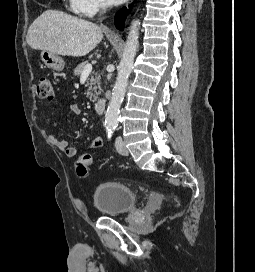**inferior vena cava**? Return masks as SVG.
Here are the masks:
<instances>
[{
    "label": "inferior vena cava",
    "mask_w": 255,
    "mask_h": 272,
    "mask_svg": "<svg viewBox=\"0 0 255 272\" xmlns=\"http://www.w3.org/2000/svg\"><path fill=\"white\" fill-rule=\"evenodd\" d=\"M101 8H102V10L105 12L106 9H107V4H106L105 2H103V3L101 4Z\"/></svg>",
    "instance_id": "obj_1"
}]
</instances>
